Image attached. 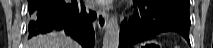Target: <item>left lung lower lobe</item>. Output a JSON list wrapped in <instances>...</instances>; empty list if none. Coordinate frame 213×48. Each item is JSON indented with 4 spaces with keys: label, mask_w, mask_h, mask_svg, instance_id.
<instances>
[{
    "label": "left lung lower lobe",
    "mask_w": 213,
    "mask_h": 48,
    "mask_svg": "<svg viewBox=\"0 0 213 48\" xmlns=\"http://www.w3.org/2000/svg\"><path fill=\"white\" fill-rule=\"evenodd\" d=\"M139 3L135 14L120 28L119 48H126L153 36L165 32L176 31L190 44L189 5L176 0H134Z\"/></svg>",
    "instance_id": "left-lung-lower-lobe-1"
}]
</instances>
